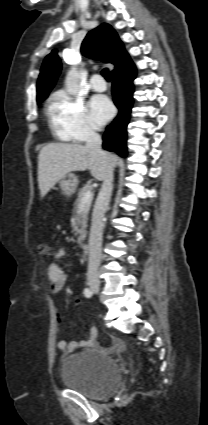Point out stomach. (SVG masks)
I'll return each mask as SVG.
<instances>
[{
  "label": "stomach",
  "mask_w": 208,
  "mask_h": 425,
  "mask_svg": "<svg viewBox=\"0 0 208 425\" xmlns=\"http://www.w3.org/2000/svg\"><path fill=\"white\" fill-rule=\"evenodd\" d=\"M60 188L66 196H71L75 193L78 185V178L75 174L69 173L59 181Z\"/></svg>",
  "instance_id": "obj_1"
}]
</instances>
